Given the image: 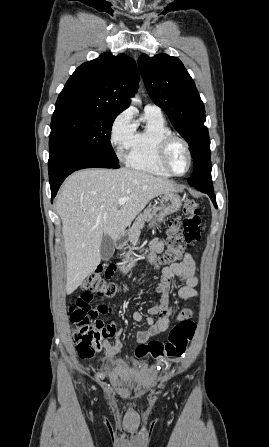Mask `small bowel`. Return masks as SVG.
I'll list each match as a JSON object with an SVG mask.
<instances>
[{
    "mask_svg": "<svg viewBox=\"0 0 269 447\" xmlns=\"http://www.w3.org/2000/svg\"><path fill=\"white\" fill-rule=\"evenodd\" d=\"M151 250L153 253H160L163 250L162 241L158 238L154 239L151 243ZM195 270V261L188 253L184 255L180 263L172 264L162 269L159 276V283L156 287L159 296L148 308L149 313L156 314L157 317L145 316L142 312L138 311L133 313V319L135 321H143L148 326L146 330L138 332L137 339L139 342L145 343L168 329L174 313V299L171 296V285L174 279L183 283V286L175 293L176 298L187 300L198 297V292L195 289L198 284ZM192 314L190 309H183L179 313L178 318L180 320L189 319L192 317ZM121 347V342H116L115 344L104 342V355L98 357L96 359L97 362L102 366H108L118 355Z\"/></svg>",
    "mask_w": 269,
    "mask_h": 447,
    "instance_id": "obj_1",
    "label": "small bowel"
}]
</instances>
